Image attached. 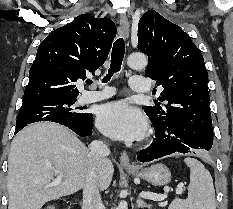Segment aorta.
I'll list each match as a JSON object with an SVG mask.
<instances>
[{
    "instance_id": "1",
    "label": "aorta",
    "mask_w": 233,
    "mask_h": 209,
    "mask_svg": "<svg viewBox=\"0 0 233 209\" xmlns=\"http://www.w3.org/2000/svg\"><path fill=\"white\" fill-rule=\"evenodd\" d=\"M147 63V57L140 53L131 54L127 58L128 66L133 69H143L147 66ZM116 209H128L127 204L125 202H122L118 205Z\"/></svg>"
}]
</instances>
